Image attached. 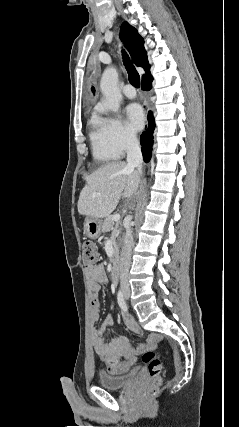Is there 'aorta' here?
<instances>
[{"instance_id": "762f6f07", "label": "aorta", "mask_w": 239, "mask_h": 427, "mask_svg": "<svg viewBox=\"0 0 239 427\" xmlns=\"http://www.w3.org/2000/svg\"><path fill=\"white\" fill-rule=\"evenodd\" d=\"M117 83V70L113 67L106 68L101 78L100 88L106 99L108 108L113 112L118 111L122 99Z\"/></svg>"}]
</instances>
